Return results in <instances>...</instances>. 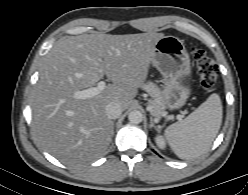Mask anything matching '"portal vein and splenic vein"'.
Returning <instances> with one entry per match:
<instances>
[{
	"label": "portal vein and splenic vein",
	"instance_id": "1",
	"mask_svg": "<svg viewBox=\"0 0 248 195\" xmlns=\"http://www.w3.org/2000/svg\"><path fill=\"white\" fill-rule=\"evenodd\" d=\"M106 87V83L104 81H100L96 87H91L85 89L83 91H79L75 94V97L78 99H87L98 95L101 91H103Z\"/></svg>",
	"mask_w": 248,
	"mask_h": 195
}]
</instances>
